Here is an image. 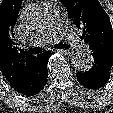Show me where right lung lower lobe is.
Returning a JSON list of instances; mask_svg holds the SVG:
<instances>
[{
    "label": "right lung lower lobe",
    "mask_w": 113,
    "mask_h": 113,
    "mask_svg": "<svg viewBox=\"0 0 113 113\" xmlns=\"http://www.w3.org/2000/svg\"><path fill=\"white\" fill-rule=\"evenodd\" d=\"M50 56V51H45L38 55L26 78L13 86V88L26 96L38 94L44 88L47 81V63Z\"/></svg>",
    "instance_id": "1"
}]
</instances>
